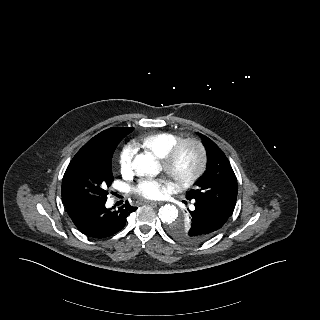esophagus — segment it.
<instances>
[{
    "mask_svg": "<svg viewBox=\"0 0 320 320\" xmlns=\"http://www.w3.org/2000/svg\"><path fill=\"white\" fill-rule=\"evenodd\" d=\"M139 204H145V203H149V204H153V205H160V202H154V201H150V200H140L138 202Z\"/></svg>",
    "mask_w": 320,
    "mask_h": 320,
    "instance_id": "esophagus-1",
    "label": "esophagus"
}]
</instances>
